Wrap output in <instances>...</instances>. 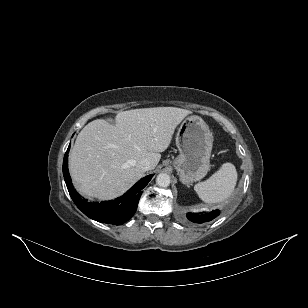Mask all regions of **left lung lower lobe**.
Segmentation results:
<instances>
[{
  "label": "left lung lower lobe",
  "mask_w": 308,
  "mask_h": 308,
  "mask_svg": "<svg viewBox=\"0 0 308 308\" xmlns=\"http://www.w3.org/2000/svg\"><path fill=\"white\" fill-rule=\"evenodd\" d=\"M220 211L219 210H213L209 213H188L187 214V218L194 223H204V222H208L211 221L212 219H214L215 217H217L219 215Z\"/></svg>",
  "instance_id": "1"
}]
</instances>
